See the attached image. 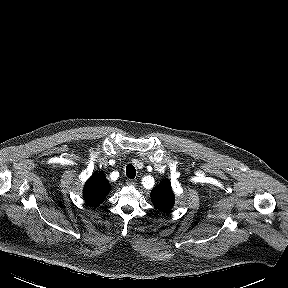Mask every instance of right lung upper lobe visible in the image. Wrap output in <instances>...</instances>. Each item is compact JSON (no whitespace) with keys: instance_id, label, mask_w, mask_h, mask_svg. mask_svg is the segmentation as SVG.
<instances>
[{"instance_id":"obj_1","label":"right lung upper lobe","mask_w":288,"mask_h":288,"mask_svg":"<svg viewBox=\"0 0 288 288\" xmlns=\"http://www.w3.org/2000/svg\"><path fill=\"white\" fill-rule=\"evenodd\" d=\"M110 189L104 173H94L84 186V199L88 205L97 206L104 200Z\"/></svg>"}]
</instances>
